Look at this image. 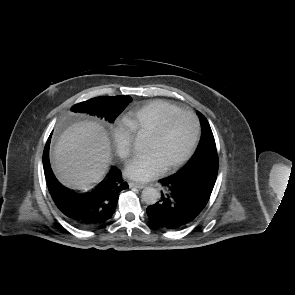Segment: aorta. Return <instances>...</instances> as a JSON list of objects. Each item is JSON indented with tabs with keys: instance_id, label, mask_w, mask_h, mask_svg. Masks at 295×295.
Segmentation results:
<instances>
[{
	"instance_id": "aorta-1",
	"label": "aorta",
	"mask_w": 295,
	"mask_h": 295,
	"mask_svg": "<svg viewBox=\"0 0 295 295\" xmlns=\"http://www.w3.org/2000/svg\"><path fill=\"white\" fill-rule=\"evenodd\" d=\"M142 201L148 205L155 204L160 198V192L153 187H147L142 191Z\"/></svg>"
}]
</instances>
